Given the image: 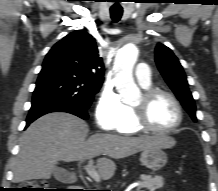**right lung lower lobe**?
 I'll return each mask as SVG.
<instances>
[{
  "instance_id": "98d812e1",
  "label": "right lung lower lobe",
  "mask_w": 218,
  "mask_h": 191,
  "mask_svg": "<svg viewBox=\"0 0 218 191\" xmlns=\"http://www.w3.org/2000/svg\"><path fill=\"white\" fill-rule=\"evenodd\" d=\"M50 112H67L76 115L82 119L88 118L87 109L84 110L74 104L64 102L55 98H41L32 102L29 114L26 120V127L37 118Z\"/></svg>"
}]
</instances>
